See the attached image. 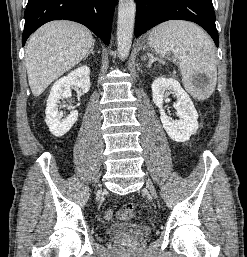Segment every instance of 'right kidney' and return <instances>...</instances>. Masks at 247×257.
I'll list each match as a JSON object with an SVG mask.
<instances>
[{"mask_svg": "<svg viewBox=\"0 0 247 257\" xmlns=\"http://www.w3.org/2000/svg\"><path fill=\"white\" fill-rule=\"evenodd\" d=\"M76 86L80 88L83 93H87L90 89V69L88 66H81L71 71L67 76L57 80L50 91L46 106V124L50 132L56 136L61 137L65 135L78 119V111L72 110L71 113L64 119L60 120L58 112V103L60 99L71 97V88ZM72 109V107H68Z\"/></svg>", "mask_w": 247, "mask_h": 257, "instance_id": "obj_1", "label": "right kidney"}]
</instances>
